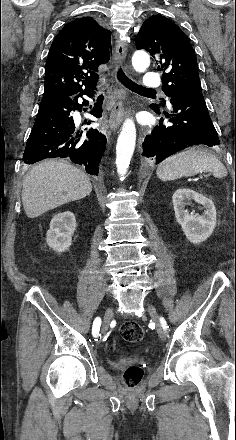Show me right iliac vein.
Masks as SVG:
<instances>
[{"label":"right iliac vein","mask_w":236,"mask_h":440,"mask_svg":"<svg viewBox=\"0 0 236 440\" xmlns=\"http://www.w3.org/2000/svg\"><path fill=\"white\" fill-rule=\"evenodd\" d=\"M113 312L111 308H107L104 314L103 325H102V333L105 334L109 328L110 321L112 318Z\"/></svg>","instance_id":"right-iliac-vein-1"}]
</instances>
